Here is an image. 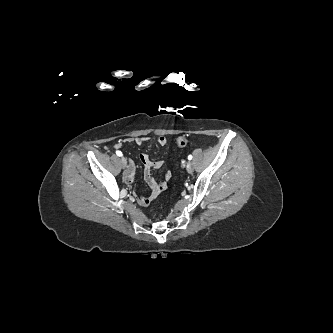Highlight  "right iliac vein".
<instances>
[{"label":"right iliac vein","mask_w":333,"mask_h":333,"mask_svg":"<svg viewBox=\"0 0 333 333\" xmlns=\"http://www.w3.org/2000/svg\"><path fill=\"white\" fill-rule=\"evenodd\" d=\"M121 166H122V168H126V166H127V161L124 157L121 158Z\"/></svg>","instance_id":"obj_1"}]
</instances>
